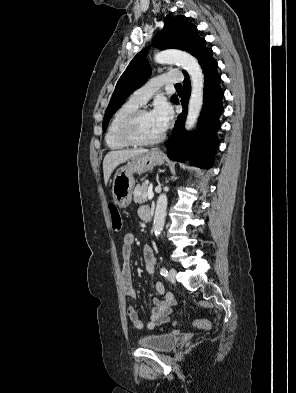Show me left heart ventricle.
<instances>
[{"mask_svg": "<svg viewBox=\"0 0 296 393\" xmlns=\"http://www.w3.org/2000/svg\"><path fill=\"white\" fill-rule=\"evenodd\" d=\"M162 131L159 129L156 124L152 113H145L139 120L136 134L142 140H150L157 136H159Z\"/></svg>", "mask_w": 296, "mask_h": 393, "instance_id": "b2bd125f", "label": "left heart ventricle"}]
</instances>
